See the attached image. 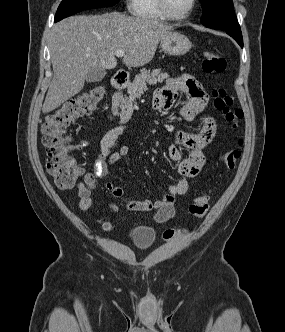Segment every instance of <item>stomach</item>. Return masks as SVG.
I'll list each match as a JSON object with an SVG mask.
<instances>
[{
  "mask_svg": "<svg viewBox=\"0 0 285 332\" xmlns=\"http://www.w3.org/2000/svg\"><path fill=\"white\" fill-rule=\"evenodd\" d=\"M162 50L169 55H184L192 47L190 40L183 34L172 32L161 40Z\"/></svg>",
  "mask_w": 285,
  "mask_h": 332,
  "instance_id": "obj_1",
  "label": "stomach"
}]
</instances>
